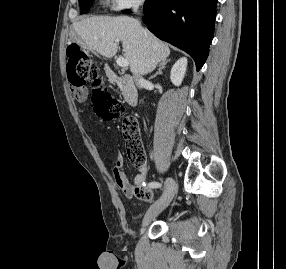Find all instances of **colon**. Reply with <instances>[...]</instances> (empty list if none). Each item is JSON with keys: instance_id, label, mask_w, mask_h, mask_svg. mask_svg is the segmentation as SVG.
Segmentation results:
<instances>
[{"instance_id": "1", "label": "colon", "mask_w": 286, "mask_h": 269, "mask_svg": "<svg viewBox=\"0 0 286 269\" xmlns=\"http://www.w3.org/2000/svg\"><path fill=\"white\" fill-rule=\"evenodd\" d=\"M66 55L68 59L67 72L72 84L71 92L73 97L77 98L79 90L87 83L95 84V113L104 120L122 118L121 130L130 163L135 168L145 165L146 156L140 138L138 121L132 116L122 117L124 108L121 103L112 97L106 88L100 86L99 68L95 59L81 50L76 43L67 46ZM134 193L142 201H151L153 199V192L146 187L145 183L136 186Z\"/></svg>"}]
</instances>
